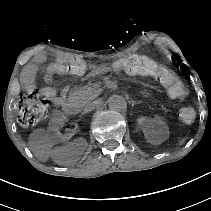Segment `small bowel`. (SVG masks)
<instances>
[{"label": "small bowel", "instance_id": "small-bowel-1", "mask_svg": "<svg viewBox=\"0 0 211 211\" xmlns=\"http://www.w3.org/2000/svg\"><path fill=\"white\" fill-rule=\"evenodd\" d=\"M46 61V56L44 54H39L35 57L33 63L25 67L22 73V84L26 88H32L34 85V77L38 70V67ZM113 71L110 67H95L92 68L88 76H94L102 74L105 72ZM43 91L49 96L50 102L55 106H61L64 104L68 88L64 87L59 92L55 91L52 88H45ZM160 121V120H158Z\"/></svg>", "mask_w": 211, "mask_h": 211}]
</instances>
